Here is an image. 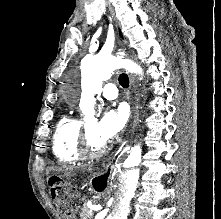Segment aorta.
Here are the masks:
<instances>
[{"label":"aorta","instance_id":"1","mask_svg":"<svg viewBox=\"0 0 221 219\" xmlns=\"http://www.w3.org/2000/svg\"><path fill=\"white\" fill-rule=\"evenodd\" d=\"M82 71L90 79L89 94L81 99L80 109L86 117L94 116V95L102 90V81L109 79L118 67L119 61L112 55H97L82 60ZM142 153L135 149L115 170L111 201L113 213L111 219H127L130 204L135 196L142 170Z\"/></svg>","mask_w":221,"mask_h":219}]
</instances>
